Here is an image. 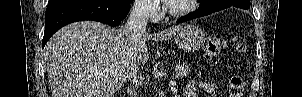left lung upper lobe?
Masks as SVG:
<instances>
[{
	"label": "left lung upper lobe",
	"mask_w": 302,
	"mask_h": 97,
	"mask_svg": "<svg viewBox=\"0 0 302 97\" xmlns=\"http://www.w3.org/2000/svg\"><path fill=\"white\" fill-rule=\"evenodd\" d=\"M212 0H200V3H209ZM242 0H217L214 4L215 7L218 8H228L231 6H239V5H243L241 3Z\"/></svg>",
	"instance_id": "left-lung-upper-lobe-1"
}]
</instances>
